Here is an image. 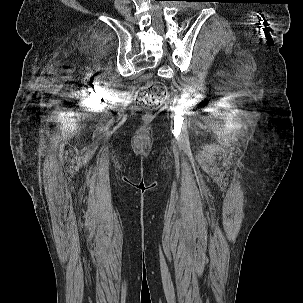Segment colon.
<instances>
[{
  "label": "colon",
  "instance_id": "5ec220e1",
  "mask_svg": "<svg viewBox=\"0 0 303 303\" xmlns=\"http://www.w3.org/2000/svg\"><path fill=\"white\" fill-rule=\"evenodd\" d=\"M167 99V88L160 82H149L137 91V103L143 109H156Z\"/></svg>",
  "mask_w": 303,
  "mask_h": 303
}]
</instances>
